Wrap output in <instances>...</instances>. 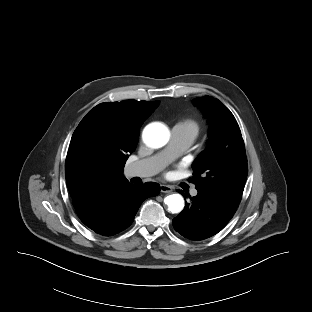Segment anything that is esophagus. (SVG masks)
I'll list each match as a JSON object with an SVG mask.
<instances>
[{
	"mask_svg": "<svg viewBox=\"0 0 312 312\" xmlns=\"http://www.w3.org/2000/svg\"><path fill=\"white\" fill-rule=\"evenodd\" d=\"M160 190H161L162 193H171L172 192V187L168 186V185L161 184L160 185Z\"/></svg>",
	"mask_w": 312,
	"mask_h": 312,
	"instance_id": "34e87169",
	"label": "esophagus"
}]
</instances>
